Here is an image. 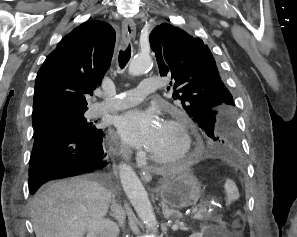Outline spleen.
Here are the masks:
<instances>
[{"label":"spleen","mask_w":297,"mask_h":237,"mask_svg":"<svg viewBox=\"0 0 297 237\" xmlns=\"http://www.w3.org/2000/svg\"><path fill=\"white\" fill-rule=\"evenodd\" d=\"M224 188H225L228 199L236 200L239 198L238 188L232 180H230V179L226 180Z\"/></svg>","instance_id":"spleen-1"}]
</instances>
